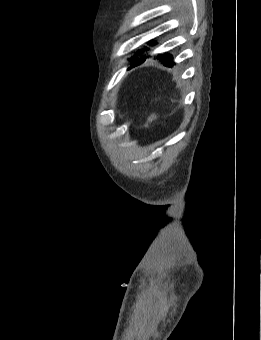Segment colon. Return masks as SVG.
Returning <instances> with one entry per match:
<instances>
[{
  "mask_svg": "<svg viewBox=\"0 0 261 340\" xmlns=\"http://www.w3.org/2000/svg\"><path fill=\"white\" fill-rule=\"evenodd\" d=\"M156 119V115L155 114H152L149 118V121H154Z\"/></svg>",
  "mask_w": 261,
  "mask_h": 340,
  "instance_id": "obj_1",
  "label": "colon"
}]
</instances>
